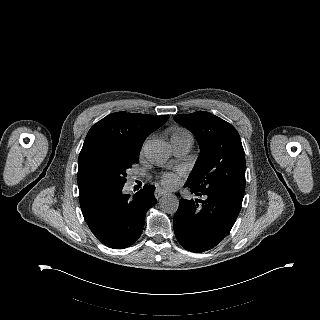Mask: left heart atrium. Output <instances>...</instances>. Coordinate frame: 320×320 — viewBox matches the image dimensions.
<instances>
[{"mask_svg": "<svg viewBox=\"0 0 320 320\" xmlns=\"http://www.w3.org/2000/svg\"><path fill=\"white\" fill-rule=\"evenodd\" d=\"M181 173H164L161 176V183L167 188H175L181 181Z\"/></svg>", "mask_w": 320, "mask_h": 320, "instance_id": "obj_1", "label": "left heart atrium"}]
</instances>
